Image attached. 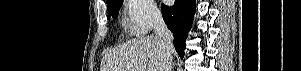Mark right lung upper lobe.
Returning <instances> with one entry per match:
<instances>
[{"mask_svg":"<svg viewBox=\"0 0 301 71\" xmlns=\"http://www.w3.org/2000/svg\"><path fill=\"white\" fill-rule=\"evenodd\" d=\"M107 1V3H109V2H111V1H113V0H106Z\"/></svg>","mask_w":301,"mask_h":71,"instance_id":"1","label":"right lung upper lobe"}]
</instances>
